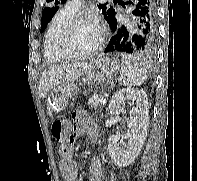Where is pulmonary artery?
<instances>
[{"label":"pulmonary artery","instance_id":"pulmonary-artery-1","mask_svg":"<svg viewBox=\"0 0 197 181\" xmlns=\"http://www.w3.org/2000/svg\"><path fill=\"white\" fill-rule=\"evenodd\" d=\"M82 5V0H69L67 1L65 7L70 11L77 13Z\"/></svg>","mask_w":197,"mask_h":181}]
</instances>
